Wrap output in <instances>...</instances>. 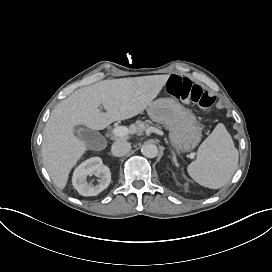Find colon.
Wrapping results in <instances>:
<instances>
[{"instance_id":"obj_1","label":"colon","mask_w":272,"mask_h":272,"mask_svg":"<svg viewBox=\"0 0 272 272\" xmlns=\"http://www.w3.org/2000/svg\"><path fill=\"white\" fill-rule=\"evenodd\" d=\"M167 84L170 96L182 103L194 104L210 111L216 102L215 96L189 78L172 75Z\"/></svg>"}]
</instances>
